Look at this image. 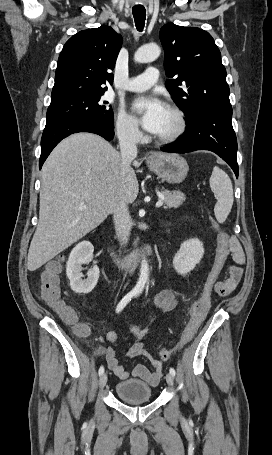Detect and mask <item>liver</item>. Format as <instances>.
<instances>
[{
    "label": "liver",
    "instance_id": "liver-1",
    "mask_svg": "<svg viewBox=\"0 0 272 455\" xmlns=\"http://www.w3.org/2000/svg\"><path fill=\"white\" fill-rule=\"evenodd\" d=\"M141 162L133 161L139 167ZM121 154L91 133L73 134L51 152L42 167L40 210L27 267L35 271L99 226L120 200L139 192L134 170L123 176ZM85 204L86 209H79Z\"/></svg>",
    "mask_w": 272,
    "mask_h": 455
}]
</instances>
